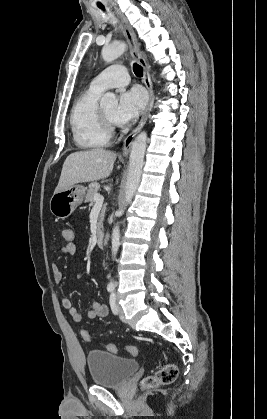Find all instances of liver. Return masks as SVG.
<instances>
[{"mask_svg":"<svg viewBox=\"0 0 267 419\" xmlns=\"http://www.w3.org/2000/svg\"><path fill=\"white\" fill-rule=\"evenodd\" d=\"M116 153L103 148L71 153L65 160L55 192L77 183L91 182L110 176Z\"/></svg>","mask_w":267,"mask_h":419,"instance_id":"6515ba94","label":"liver"}]
</instances>
